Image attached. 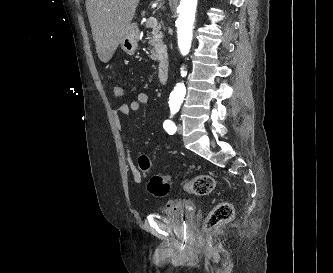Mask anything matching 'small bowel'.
Wrapping results in <instances>:
<instances>
[{
    "label": "small bowel",
    "mask_w": 333,
    "mask_h": 273,
    "mask_svg": "<svg viewBox=\"0 0 333 273\" xmlns=\"http://www.w3.org/2000/svg\"><path fill=\"white\" fill-rule=\"evenodd\" d=\"M149 94L147 92H139L136 95V98L131 101L128 104H120L116 106L113 110V119L114 123L117 128L121 129L122 128V118L129 115L130 113L137 112L141 106L147 104L149 102ZM126 151H127V159H128V165H129V170L131 172V175L133 177V180L135 183L140 184L143 181V173L141 172L138 164V158L137 157V163L134 161L132 155H131V150L129 146H126Z\"/></svg>",
    "instance_id": "small-bowel-1"
}]
</instances>
